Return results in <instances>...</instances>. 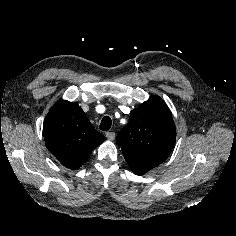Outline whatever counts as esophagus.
Here are the masks:
<instances>
[{"label":"esophagus","instance_id":"obj_1","mask_svg":"<svg viewBox=\"0 0 236 236\" xmlns=\"http://www.w3.org/2000/svg\"><path fill=\"white\" fill-rule=\"evenodd\" d=\"M106 138L110 141H113L115 139V133L114 132H107L105 134Z\"/></svg>","mask_w":236,"mask_h":236}]
</instances>
